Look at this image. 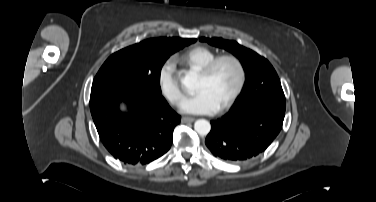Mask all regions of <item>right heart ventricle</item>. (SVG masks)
<instances>
[{"mask_svg": "<svg viewBox=\"0 0 376 202\" xmlns=\"http://www.w3.org/2000/svg\"><path fill=\"white\" fill-rule=\"evenodd\" d=\"M217 53L205 46H197L174 56L173 61L186 70L199 71L213 60Z\"/></svg>", "mask_w": 376, "mask_h": 202, "instance_id": "obj_1", "label": "right heart ventricle"}]
</instances>
